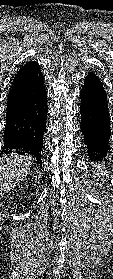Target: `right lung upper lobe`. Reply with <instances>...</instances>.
I'll return each instance as SVG.
<instances>
[{
  "label": "right lung upper lobe",
  "instance_id": "obj_1",
  "mask_svg": "<svg viewBox=\"0 0 113 279\" xmlns=\"http://www.w3.org/2000/svg\"><path fill=\"white\" fill-rule=\"evenodd\" d=\"M36 65V62L34 61H30V62H27L26 64H24L19 70L18 72L16 73L13 81H12V84L16 81H18L20 78H22L23 76H25L29 70L34 66Z\"/></svg>",
  "mask_w": 113,
  "mask_h": 279
}]
</instances>
